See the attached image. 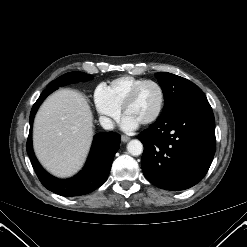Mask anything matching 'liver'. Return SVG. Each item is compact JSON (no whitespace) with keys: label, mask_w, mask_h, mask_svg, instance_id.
Returning a JSON list of instances; mask_svg holds the SVG:
<instances>
[{"label":"liver","mask_w":247,"mask_h":247,"mask_svg":"<svg viewBox=\"0 0 247 247\" xmlns=\"http://www.w3.org/2000/svg\"><path fill=\"white\" fill-rule=\"evenodd\" d=\"M93 136V116L86 97L61 89L42 104L34 121V150L42 165L69 177L83 165Z\"/></svg>","instance_id":"1"}]
</instances>
